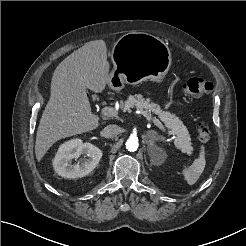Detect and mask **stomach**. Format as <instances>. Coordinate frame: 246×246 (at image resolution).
<instances>
[{
	"label": "stomach",
	"mask_w": 246,
	"mask_h": 246,
	"mask_svg": "<svg viewBox=\"0 0 246 246\" xmlns=\"http://www.w3.org/2000/svg\"><path fill=\"white\" fill-rule=\"evenodd\" d=\"M114 65L108 85L120 91L124 84H138L144 80L161 82L171 66V52L166 43L151 34L129 32L113 46Z\"/></svg>",
	"instance_id": "obj_1"
}]
</instances>
